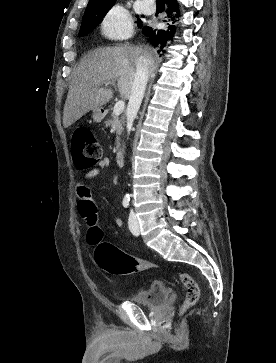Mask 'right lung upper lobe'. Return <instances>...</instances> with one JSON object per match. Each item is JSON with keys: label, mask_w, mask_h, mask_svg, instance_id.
Returning a JSON list of instances; mask_svg holds the SVG:
<instances>
[{"label": "right lung upper lobe", "mask_w": 276, "mask_h": 363, "mask_svg": "<svg viewBox=\"0 0 276 363\" xmlns=\"http://www.w3.org/2000/svg\"><path fill=\"white\" fill-rule=\"evenodd\" d=\"M116 0H90L88 5H97V4H105V3H112Z\"/></svg>", "instance_id": "1"}]
</instances>
